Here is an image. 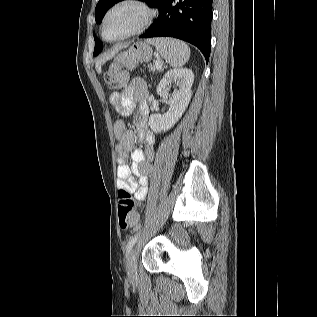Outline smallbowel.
<instances>
[{
	"label": "small bowel",
	"mask_w": 317,
	"mask_h": 317,
	"mask_svg": "<svg viewBox=\"0 0 317 317\" xmlns=\"http://www.w3.org/2000/svg\"><path fill=\"white\" fill-rule=\"evenodd\" d=\"M110 103L124 117L131 116L134 110H137L136 132L128 130L122 119L115 121L113 132L118 141L115 147L118 187L133 193L138 204L141 205L148 192L150 161L155 156V136L148 128L149 105L146 82L140 78L132 79L123 91L111 94ZM136 138L144 141L145 150L134 148ZM129 154L131 165L126 164ZM134 176L138 177V182L135 181Z\"/></svg>",
	"instance_id": "obj_1"
}]
</instances>
